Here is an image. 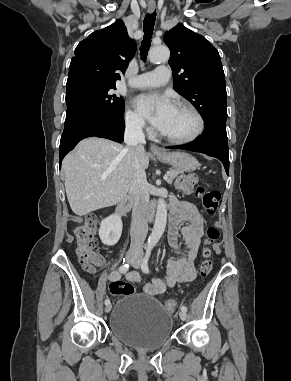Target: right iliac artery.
<instances>
[{"label":"right iliac artery","instance_id":"82829eb1","mask_svg":"<svg viewBox=\"0 0 291 381\" xmlns=\"http://www.w3.org/2000/svg\"><path fill=\"white\" fill-rule=\"evenodd\" d=\"M129 270V264H122L120 267H119V271L120 273H126L127 271ZM105 304H110V300L109 299H106L105 300Z\"/></svg>","mask_w":291,"mask_h":381}]
</instances>
